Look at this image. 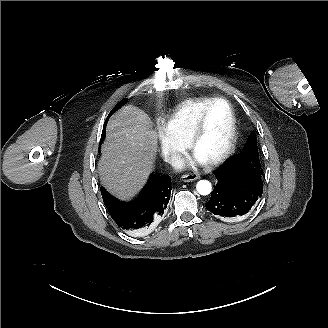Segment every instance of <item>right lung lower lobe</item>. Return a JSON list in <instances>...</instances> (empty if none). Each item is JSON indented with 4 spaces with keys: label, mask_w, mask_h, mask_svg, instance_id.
Instances as JSON below:
<instances>
[{
    "label": "right lung lower lobe",
    "mask_w": 328,
    "mask_h": 328,
    "mask_svg": "<svg viewBox=\"0 0 328 328\" xmlns=\"http://www.w3.org/2000/svg\"><path fill=\"white\" fill-rule=\"evenodd\" d=\"M172 187L169 175H152L144 192L134 201L124 203L101 187L104 204L119 228L126 231L148 228L166 209Z\"/></svg>",
    "instance_id": "98d812e1"
}]
</instances>
